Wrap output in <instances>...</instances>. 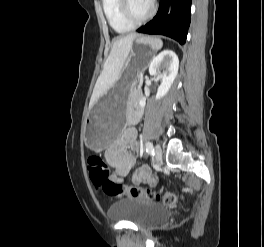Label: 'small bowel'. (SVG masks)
I'll return each mask as SVG.
<instances>
[{
    "label": "small bowel",
    "instance_id": "c3829d8e",
    "mask_svg": "<svg viewBox=\"0 0 264 247\" xmlns=\"http://www.w3.org/2000/svg\"><path fill=\"white\" fill-rule=\"evenodd\" d=\"M140 118V113L134 111L129 118V126L105 152V157L113 168L112 180L120 181L126 177L134 167L135 158L128 152V149L135 151L139 148L135 124ZM136 182H143L151 186L156 184V178L151 174L147 166L139 169L134 177Z\"/></svg>",
    "mask_w": 264,
    "mask_h": 247
}]
</instances>
